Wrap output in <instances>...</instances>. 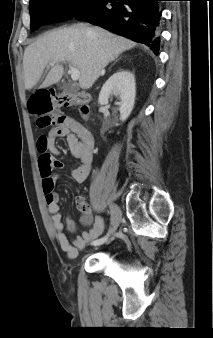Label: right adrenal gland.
I'll return each mask as SVG.
<instances>
[{
  "label": "right adrenal gland",
  "mask_w": 213,
  "mask_h": 338,
  "mask_svg": "<svg viewBox=\"0 0 213 338\" xmlns=\"http://www.w3.org/2000/svg\"><path fill=\"white\" fill-rule=\"evenodd\" d=\"M117 61H118V59H116V60L114 61V63L112 64V66H113ZM101 76H104V73H102Z\"/></svg>",
  "instance_id": "1"
}]
</instances>
